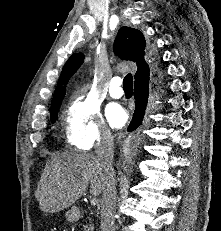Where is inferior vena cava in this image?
Instances as JSON below:
<instances>
[{
	"mask_svg": "<svg viewBox=\"0 0 221 231\" xmlns=\"http://www.w3.org/2000/svg\"><path fill=\"white\" fill-rule=\"evenodd\" d=\"M98 161L106 172V186L101 201V231H115L116 179L113 168L114 142L109 130H103L95 146Z\"/></svg>",
	"mask_w": 221,
	"mask_h": 231,
	"instance_id": "inferior-vena-cava-1",
	"label": "inferior vena cava"
}]
</instances>
